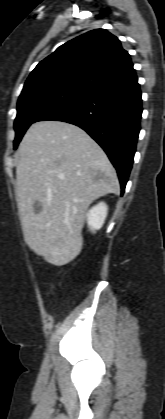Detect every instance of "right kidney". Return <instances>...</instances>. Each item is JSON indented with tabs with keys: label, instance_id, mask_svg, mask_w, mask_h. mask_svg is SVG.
Wrapping results in <instances>:
<instances>
[{
	"label": "right kidney",
	"instance_id": "1",
	"mask_svg": "<svg viewBox=\"0 0 165 419\" xmlns=\"http://www.w3.org/2000/svg\"><path fill=\"white\" fill-rule=\"evenodd\" d=\"M108 206L104 202H100L93 206L87 213V224L93 232L99 230L107 217Z\"/></svg>",
	"mask_w": 165,
	"mask_h": 419
}]
</instances>
